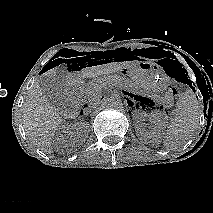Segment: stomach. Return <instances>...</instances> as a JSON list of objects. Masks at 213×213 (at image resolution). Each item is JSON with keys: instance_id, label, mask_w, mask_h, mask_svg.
Segmentation results:
<instances>
[{"instance_id": "0dacf381", "label": "stomach", "mask_w": 213, "mask_h": 213, "mask_svg": "<svg viewBox=\"0 0 213 213\" xmlns=\"http://www.w3.org/2000/svg\"><path fill=\"white\" fill-rule=\"evenodd\" d=\"M121 75L150 95L162 94L168 88V78L163 68L153 61H141L125 67Z\"/></svg>"}]
</instances>
